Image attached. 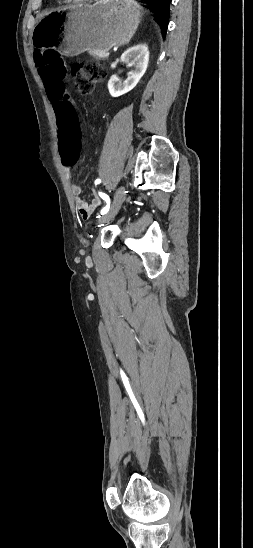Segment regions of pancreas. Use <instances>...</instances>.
I'll use <instances>...</instances> for the list:
<instances>
[{
  "instance_id": "1",
  "label": "pancreas",
  "mask_w": 253,
  "mask_h": 548,
  "mask_svg": "<svg viewBox=\"0 0 253 548\" xmlns=\"http://www.w3.org/2000/svg\"><path fill=\"white\" fill-rule=\"evenodd\" d=\"M90 55H92L93 57H95L96 59H99V60H104V59H107L108 56H109V53L107 50H97V49H91L89 51Z\"/></svg>"
}]
</instances>
